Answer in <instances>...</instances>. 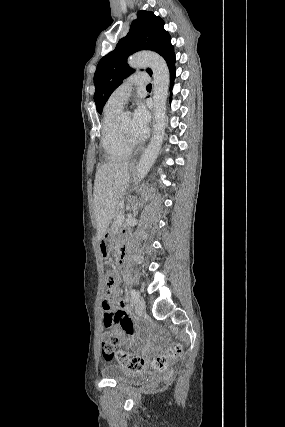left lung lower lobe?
I'll use <instances>...</instances> for the list:
<instances>
[{
	"label": "left lung lower lobe",
	"mask_w": 285,
	"mask_h": 427,
	"mask_svg": "<svg viewBox=\"0 0 285 427\" xmlns=\"http://www.w3.org/2000/svg\"><path fill=\"white\" fill-rule=\"evenodd\" d=\"M169 70H170V77H171V88L172 90L174 79L176 77V69H175V57H173L168 63H167Z\"/></svg>",
	"instance_id": "obj_1"
}]
</instances>
